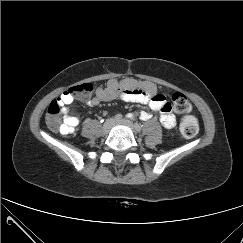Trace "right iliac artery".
<instances>
[{"label":"right iliac artery","instance_id":"right-iliac-artery-1","mask_svg":"<svg viewBox=\"0 0 243 243\" xmlns=\"http://www.w3.org/2000/svg\"><path fill=\"white\" fill-rule=\"evenodd\" d=\"M122 117H123L122 114H117V115L115 116V119H116V120H121Z\"/></svg>","mask_w":243,"mask_h":243}]
</instances>
